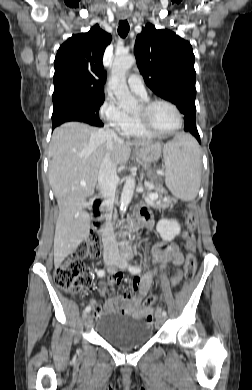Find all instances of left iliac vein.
Instances as JSON below:
<instances>
[{
  "mask_svg": "<svg viewBox=\"0 0 252 390\" xmlns=\"http://www.w3.org/2000/svg\"><path fill=\"white\" fill-rule=\"evenodd\" d=\"M115 265L122 270L127 269L128 263L124 254L117 256ZM110 272L114 273V269L110 270ZM157 317L160 322H163L165 320V316H162L160 311H157Z\"/></svg>",
  "mask_w": 252,
  "mask_h": 390,
  "instance_id": "obj_1",
  "label": "left iliac vein"
}]
</instances>
